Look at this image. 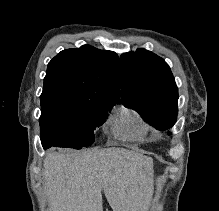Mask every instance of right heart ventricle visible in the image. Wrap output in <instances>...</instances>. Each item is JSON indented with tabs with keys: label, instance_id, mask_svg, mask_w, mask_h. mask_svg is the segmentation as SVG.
<instances>
[{
	"label": "right heart ventricle",
	"instance_id": "right-heart-ventricle-1",
	"mask_svg": "<svg viewBox=\"0 0 219 211\" xmlns=\"http://www.w3.org/2000/svg\"><path fill=\"white\" fill-rule=\"evenodd\" d=\"M110 125L114 135L128 141H147L154 134L145 118L135 109L128 107H120Z\"/></svg>",
	"mask_w": 219,
	"mask_h": 211
}]
</instances>
